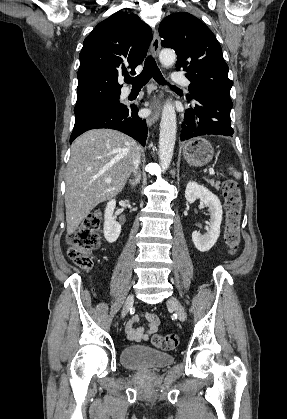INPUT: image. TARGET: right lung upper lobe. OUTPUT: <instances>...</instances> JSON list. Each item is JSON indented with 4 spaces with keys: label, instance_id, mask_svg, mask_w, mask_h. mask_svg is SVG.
Returning a JSON list of instances; mask_svg holds the SVG:
<instances>
[{
    "label": "right lung upper lobe",
    "instance_id": "right-lung-upper-lobe-1",
    "mask_svg": "<svg viewBox=\"0 0 287 419\" xmlns=\"http://www.w3.org/2000/svg\"><path fill=\"white\" fill-rule=\"evenodd\" d=\"M152 33L135 14L116 12L99 23L84 40L77 73L75 107L120 95L118 77L142 63Z\"/></svg>",
    "mask_w": 287,
    "mask_h": 419
}]
</instances>
